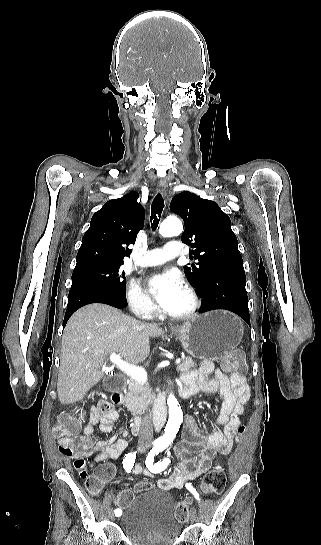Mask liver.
<instances>
[{
	"label": "liver",
	"instance_id": "1",
	"mask_svg": "<svg viewBox=\"0 0 321 545\" xmlns=\"http://www.w3.org/2000/svg\"><path fill=\"white\" fill-rule=\"evenodd\" d=\"M165 331L141 323L109 305H86L69 319L62 337L57 391L60 403L82 401L104 377L109 353H119L128 363H142L150 353V337Z\"/></svg>",
	"mask_w": 321,
	"mask_h": 545
}]
</instances>
